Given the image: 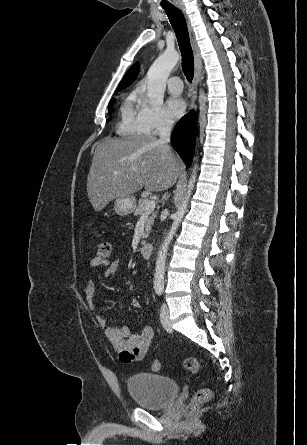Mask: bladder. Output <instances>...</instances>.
I'll use <instances>...</instances> for the list:
<instances>
[{
    "mask_svg": "<svg viewBox=\"0 0 307 445\" xmlns=\"http://www.w3.org/2000/svg\"><path fill=\"white\" fill-rule=\"evenodd\" d=\"M126 383L134 403L141 408L152 410L168 407L180 390L176 380L148 372L134 374L127 379Z\"/></svg>",
    "mask_w": 307,
    "mask_h": 445,
    "instance_id": "obj_1",
    "label": "bladder"
}]
</instances>
